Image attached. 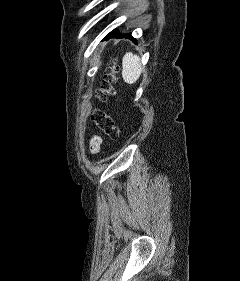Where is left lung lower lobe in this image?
Here are the masks:
<instances>
[{
	"mask_svg": "<svg viewBox=\"0 0 240 281\" xmlns=\"http://www.w3.org/2000/svg\"><path fill=\"white\" fill-rule=\"evenodd\" d=\"M111 36H117V34H115L114 31H111L107 36L106 38H109ZM119 38H131L134 42H136V40L131 36L130 33L128 34H123V35H119Z\"/></svg>",
	"mask_w": 240,
	"mask_h": 281,
	"instance_id": "1",
	"label": "left lung lower lobe"
}]
</instances>
